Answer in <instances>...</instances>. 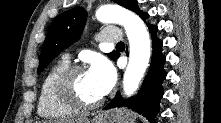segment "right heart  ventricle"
<instances>
[{"label": "right heart ventricle", "mask_w": 221, "mask_h": 123, "mask_svg": "<svg viewBox=\"0 0 221 123\" xmlns=\"http://www.w3.org/2000/svg\"><path fill=\"white\" fill-rule=\"evenodd\" d=\"M69 63L66 59L57 61L44 76L41 84L37 111L40 117L46 119H66L77 114V110L59 100L55 93V80Z\"/></svg>", "instance_id": "obj_1"}]
</instances>
